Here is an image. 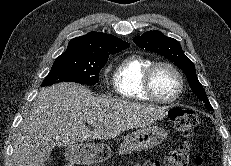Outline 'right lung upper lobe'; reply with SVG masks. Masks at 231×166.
Instances as JSON below:
<instances>
[{
	"label": "right lung upper lobe",
	"instance_id": "right-lung-upper-lobe-1",
	"mask_svg": "<svg viewBox=\"0 0 231 166\" xmlns=\"http://www.w3.org/2000/svg\"><path fill=\"white\" fill-rule=\"evenodd\" d=\"M129 46V43L111 34L89 32L70 40L65 52L98 57L120 52Z\"/></svg>",
	"mask_w": 231,
	"mask_h": 166
}]
</instances>
